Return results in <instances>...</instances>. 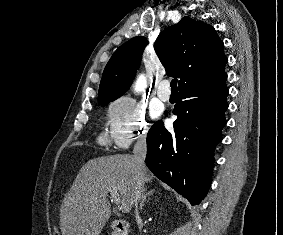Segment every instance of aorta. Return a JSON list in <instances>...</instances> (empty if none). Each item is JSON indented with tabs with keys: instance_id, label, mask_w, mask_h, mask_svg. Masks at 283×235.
<instances>
[{
	"instance_id": "1",
	"label": "aorta",
	"mask_w": 283,
	"mask_h": 235,
	"mask_svg": "<svg viewBox=\"0 0 283 235\" xmlns=\"http://www.w3.org/2000/svg\"><path fill=\"white\" fill-rule=\"evenodd\" d=\"M145 87H146V77L143 74H141L135 83L134 89L135 91L138 92V91H142Z\"/></svg>"
}]
</instances>
